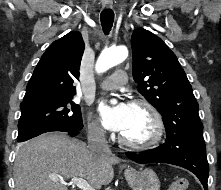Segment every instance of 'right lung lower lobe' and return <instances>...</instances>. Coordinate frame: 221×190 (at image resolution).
<instances>
[{
    "mask_svg": "<svg viewBox=\"0 0 221 190\" xmlns=\"http://www.w3.org/2000/svg\"><path fill=\"white\" fill-rule=\"evenodd\" d=\"M63 132H66V133H68L71 136H76V135H78L81 132V130L77 131V132H69V131H63Z\"/></svg>",
    "mask_w": 221,
    "mask_h": 190,
    "instance_id": "1",
    "label": "right lung lower lobe"
}]
</instances>
